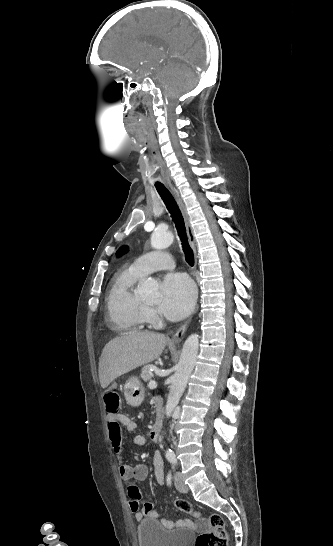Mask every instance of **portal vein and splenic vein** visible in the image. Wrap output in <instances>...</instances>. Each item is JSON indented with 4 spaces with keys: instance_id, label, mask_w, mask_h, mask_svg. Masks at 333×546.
<instances>
[{
    "instance_id": "portal-vein-and-splenic-vein-1",
    "label": "portal vein and splenic vein",
    "mask_w": 333,
    "mask_h": 546,
    "mask_svg": "<svg viewBox=\"0 0 333 546\" xmlns=\"http://www.w3.org/2000/svg\"><path fill=\"white\" fill-rule=\"evenodd\" d=\"M148 386H149L150 389L156 388V386H157L156 381L151 380L149 382Z\"/></svg>"
}]
</instances>
